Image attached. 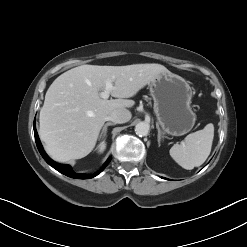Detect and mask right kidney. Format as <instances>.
Masks as SVG:
<instances>
[{"instance_id": "right-kidney-1", "label": "right kidney", "mask_w": 247, "mask_h": 247, "mask_svg": "<svg viewBox=\"0 0 247 247\" xmlns=\"http://www.w3.org/2000/svg\"><path fill=\"white\" fill-rule=\"evenodd\" d=\"M105 148H106V143L103 141L99 144L98 151L102 153L105 150Z\"/></svg>"}]
</instances>
